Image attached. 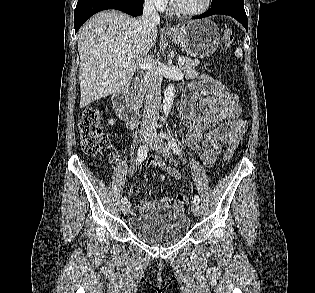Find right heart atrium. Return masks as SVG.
Wrapping results in <instances>:
<instances>
[{"label":"right heart atrium","mask_w":315,"mask_h":293,"mask_svg":"<svg viewBox=\"0 0 315 293\" xmlns=\"http://www.w3.org/2000/svg\"><path fill=\"white\" fill-rule=\"evenodd\" d=\"M147 1L158 10H164L169 3V0H147Z\"/></svg>","instance_id":"obj_1"}]
</instances>
